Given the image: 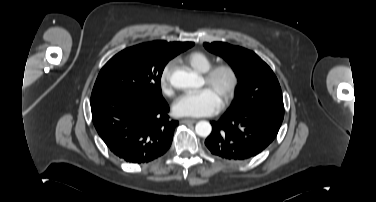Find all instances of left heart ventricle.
Wrapping results in <instances>:
<instances>
[{
  "label": "left heart ventricle",
  "instance_id": "b2bd125f",
  "mask_svg": "<svg viewBox=\"0 0 376 202\" xmlns=\"http://www.w3.org/2000/svg\"><path fill=\"white\" fill-rule=\"evenodd\" d=\"M227 83H228V79L226 76H221L219 78V80L217 81L216 85L214 86H209L210 89L216 94V96L218 97V99L222 100V97H223V94L226 90V87H227Z\"/></svg>",
  "mask_w": 376,
  "mask_h": 202
}]
</instances>
